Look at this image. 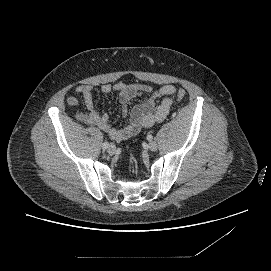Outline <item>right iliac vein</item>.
Wrapping results in <instances>:
<instances>
[{
	"instance_id": "1",
	"label": "right iliac vein",
	"mask_w": 271,
	"mask_h": 271,
	"mask_svg": "<svg viewBox=\"0 0 271 271\" xmlns=\"http://www.w3.org/2000/svg\"><path fill=\"white\" fill-rule=\"evenodd\" d=\"M115 150H116V147H115L114 144H110V145L107 147V152H108L109 154H114Z\"/></svg>"
}]
</instances>
